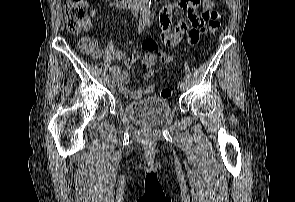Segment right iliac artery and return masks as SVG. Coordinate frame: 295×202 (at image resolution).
<instances>
[{
  "mask_svg": "<svg viewBox=\"0 0 295 202\" xmlns=\"http://www.w3.org/2000/svg\"><path fill=\"white\" fill-rule=\"evenodd\" d=\"M145 25H146L145 22H140V23H139V28H138V32H139V34L142 32V30L144 29ZM106 79H107V80L111 79V76L108 74V75L106 76Z\"/></svg>",
  "mask_w": 295,
  "mask_h": 202,
  "instance_id": "82829eb1",
  "label": "right iliac artery"
}]
</instances>
